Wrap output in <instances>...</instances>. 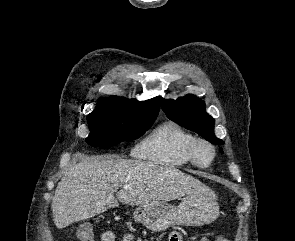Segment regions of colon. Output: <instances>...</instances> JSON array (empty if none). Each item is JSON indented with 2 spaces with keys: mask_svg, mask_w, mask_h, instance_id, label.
I'll return each mask as SVG.
<instances>
[{
  "mask_svg": "<svg viewBox=\"0 0 295 241\" xmlns=\"http://www.w3.org/2000/svg\"><path fill=\"white\" fill-rule=\"evenodd\" d=\"M81 235H82L83 241H93V230L91 227L85 228L82 231ZM170 241H183V237L179 232H175V233H173ZM215 241H230V240L223 238V237H219Z\"/></svg>",
  "mask_w": 295,
  "mask_h": 241,
  "instance_id": "5ec220e1",
  "label": "colon"
}]
</instances>
